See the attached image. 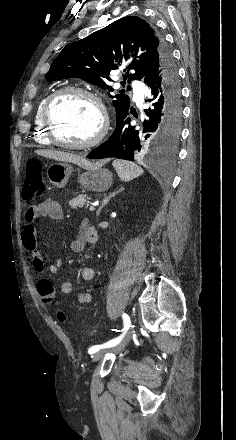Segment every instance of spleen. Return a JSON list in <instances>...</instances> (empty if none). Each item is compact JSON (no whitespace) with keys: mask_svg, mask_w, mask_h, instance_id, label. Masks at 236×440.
I'll list each match as a JSON object with an SVG mask.
<instances>
[{"mask_svg":"<svg viewBox=\"0 0 236 440\" xmlns=\"http://www.w3.org/2000/svg\"><path fill=\"white\" fill-rule=\"evenodd\" d=\"M113 167L122 181H130L143 174L144 170L137 164L116 159L113 161Z\"/></svg>","mask_w":236,"mask_h":440,"instance_id":"1","label":"spleen"}]
</instances>
